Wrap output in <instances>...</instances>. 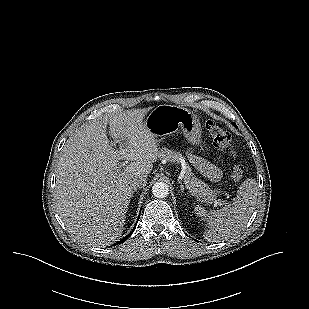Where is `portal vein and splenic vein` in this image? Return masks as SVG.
<instances>
[{
	"mask_svg": "<svg viewBox=\"0 0 309 309\" xmlns=\"http://www.w3.org/2000/svg\"><path fill=\"white\" fill-rule=\"evenodd\" d=\"M128 162L127 161H124L123 163H122V166H124L125 164H127ZM185 187L188 189V190H190V193L192 194V195H195V191L194 190H192V189H190V187L188 186V185H185ZM221 204V201H219V200H216L215 202H214V206H217V205H220Z\"/></svg>",
	"mask_w": 309,
	"mask_h": 309,
	"instance_id": "1",
	"label": "portal vein and splenic vein"
}]
</instances>
